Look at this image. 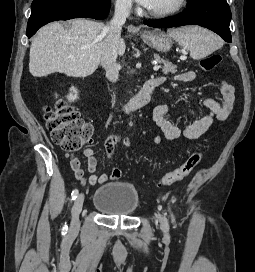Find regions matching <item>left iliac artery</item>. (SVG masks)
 I'll list each match as a JSON object with an SVG mask.
<instances>
[{"label":"left iliac artery","mask_w":255,"mask_h":272,"mask_svg":"<svg viewBox=\"0 0 255 272\" xmlns=\"http://www.w3.org/2000/svg\"><path fill=\"white\" fill-rule=\"evenodd\" d=\"M171 216H172V221L174 222V217H173V215L171 214Z\"/></svg>","instance_id":"1"}]
</instances>
